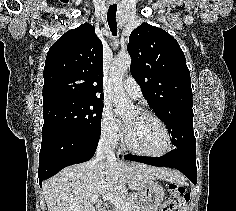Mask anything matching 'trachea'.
<instances>
[{
    "label": "trachea",
    "mask_w": 236,
    "mask_h": 211,
    "mask_svg": "<svg viewBox=\"0 0 236 211\" xmlns=\"http://www.w3.org/2000/svg\"><path fill=\"white\" fill-rule=\"evenodd\" d=\"M116 11H117V7L111 6L109 7L108 12H107L108 25L113 35L117 34Z\"/></svg>",
    "instance_id": "trachea-1"
}]
</instances>
